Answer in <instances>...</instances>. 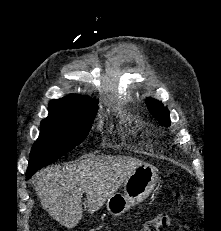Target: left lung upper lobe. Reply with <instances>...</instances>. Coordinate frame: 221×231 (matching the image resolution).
I'll list each match as a JSON object with an SVG mask.
<instances>
[{"label": "left lung upper lobe", "instance_id": "left-lung-upper-lobe-1", "mask_svg": "<svg viewBox=\"0 0 221 231\" xmlns=\"http://www.w3.org/2000/svg\"><path fill=\"white\" fill-rule=\"evenodd\" d=\"M146 105L150 113L164 126H170L169 111L160 102L146 99Z\"/></svg>", "mask_w": 221, "mask_h": 231}]
</instances>
